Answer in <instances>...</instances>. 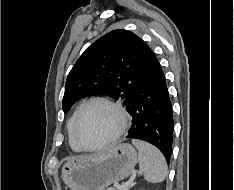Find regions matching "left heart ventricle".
<instances>
[{
  "label": "left heart ventricle",
  "instance_id": "left-heart-ventricle-1",
  "mask_svg": "<svg viewBox=\"0 0 234 190\" xmlns=\"http://www.w3.org/2000/svg\"><path fill=\"white\" fill-rule=\"evenodd\" d=\"M118 125V118L113 110L105 105L95 104L83 114L77 137L86 146H96L108 140L116 132Z\"/></svg>",
  "mask_w": 234,
  "mask_h": 190
}]
</instances>
